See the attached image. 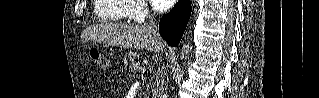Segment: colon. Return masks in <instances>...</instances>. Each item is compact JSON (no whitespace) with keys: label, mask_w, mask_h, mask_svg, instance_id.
I'll use <instances>...</instances> for the list:
<instances>
[{"label":"colon","mask_w":319,"mask_h":98,"mask_svg":"<svg viewBox=\"0 0 319 98\" xmlns=\"http://www.w3.org/2000/svg\"><path fill=\"white\" fill-rule=\"evenodd\" d=\"M90 57L93 62L101 69H105L108 66L106 58L95 48L90 50Z\"/></svg>","instance_id":"colon-1"}]
</instances>
